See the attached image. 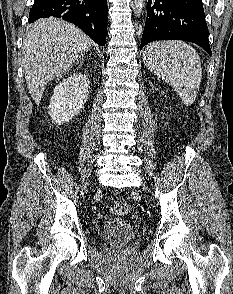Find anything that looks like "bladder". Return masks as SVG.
I'll return each mask as SVG.
<instances>
[{
	"mask_svg": "<svg viewBox=\"0 0 233 294\" xmlns=\"http://www.w3.org/2000/svg\"><path fill=\"white\" fill-rule=\"evenodd\" d=\"M101 235L112 245H124L133 238L134 228L128 220L114 218L104 225Z\"/></svg>",
	"mask_w": 233,
	"mask_h": 294,
	"instance_id": "bladder-1",
	"label": "bladder"
}]
</instances>
